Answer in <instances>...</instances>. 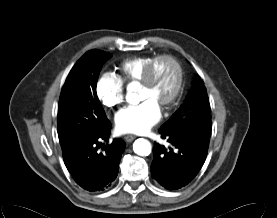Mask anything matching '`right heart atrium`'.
Instances as JSON below:
<instances>
[{
    "label": "right heart atrium",
    "mask_w": 277,
    "mask_h": 218,
    "mask_svg": "<svg viewBox=\"0 0 277 218\" xmlns=\"http://www.w3.org/2000/svg\"><path fill=\"white\" fill-rule=\"evenodd\" d=\"M96 92L103 105L108 108L121 104L125 99L124 83L109 72L99 76Z\"/></svg>",
    "instance_id": "right-heart-atrium-1"
}]
</instances>
